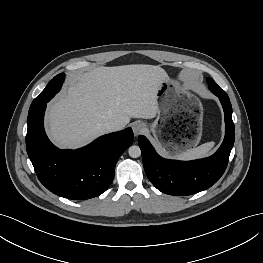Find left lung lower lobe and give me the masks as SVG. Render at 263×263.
Masks as SVG:
<instances>
[{"label":"left lung lower lobe","instance_id":"0a47b994","mask_svg":"<svg viewBox=\"0 0 263 263\" xmlns=\"http://www.w3.org/2000/svg\"><path fill=\"white\" fill-rule=\"evenodd\" d=\"M210 90L221 101L226 124L224 141L212 156L193 161L164 159L156 153L144 136L138 137L146 175L163 193L191 195L203 191L215 184L227 167L235 138L232 106L228 95L221 88Z\"/></svg>","mask_w":263,"mask_h":263}]
</instances>
